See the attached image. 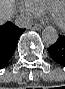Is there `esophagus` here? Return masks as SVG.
<instances>
[{"label":"esophagus","instance_id":"1","mask_svg":"<svg viewBox=\"0 0 65 89\" xmlns=\"http://www.w3.org/2000/svg\"><path fill=\"white\" fill-rule=\"evenodd\" d=\"M30 28L34 29V30H41V29H43V26L39 23H33L30 25Z\"/></svg>","mask_w":65,"mask_h":89}]
</instances>
